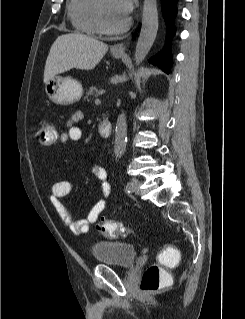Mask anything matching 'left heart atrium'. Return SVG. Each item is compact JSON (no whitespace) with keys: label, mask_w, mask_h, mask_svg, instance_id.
Wrapping results in <instances>:
<instances>
[{"label":"left heart atrium","mask_w":245,"mask_h":319,"mask_svg":"<svg viewBox=\"0 0 245 319\" xmlns=\"http://www.w3.org/2000/svg\"><path fill=\"white\" fill-rule=\"evenodd\" d=\"M117 13L127 19L134 7V0H114Z\"/></svg>","instance_id":"1"}]
</instances>
